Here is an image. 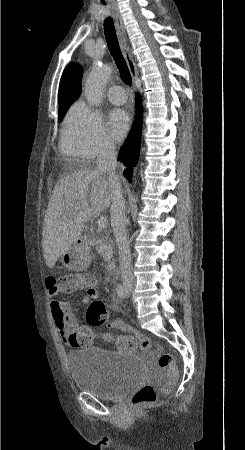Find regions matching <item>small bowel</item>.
I'll use <instances>...</instances> for the list:
<instances>
[{
    "label": "small bowel",
    "mask_w": 245,
    "mask_h": 450,
    "mask_svg": "<svg viewBox=\"0 0 245 450\" xmlns=\"http://www.w3.org/2000/svg\"><path fill=\"white\" fill-rule=\"evenodd\" d=\"M89 280L84 284L70 289L71 291L84 289L86 291L83 296V302L88 303L98 298L97 283L96 281L88 277ZM58 289L51 288L47 291L49 297V305L51 309V315L57 332L62 341L70 347H79L77 342L73 339V334L80 328L76 318L71 310V305L66 300L57 298ZM111 307H115V304H111ZM112 327H118V321L111 323Z\"/></svg>",
    "instance_id": "small-bowel-1"
}]
</instances>
